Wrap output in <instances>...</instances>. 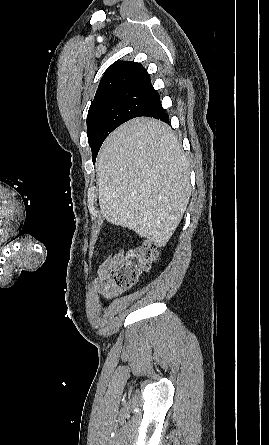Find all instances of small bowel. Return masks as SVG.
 Returning <instances> with one entry per match:
<instances>
[{
  "instance_id": "obj_1",
  "label": "small bowel",
  "mask_w": 269,
  "mask_h": 445,
  "mask_svg": "<svg viewBox=\"0 0 269 445\" xmlns=\"http://www.w3.org/2000/svg\"><path fill=\"white\" fill-rule=\"evenodd\" d=\"M124 252L122 250L107 255L97 270V278L92 282V289L104 300H110L118 295L119 290L112 281L111 274L116 265L120 262Z\"/></svg>"
}]
</instances>
